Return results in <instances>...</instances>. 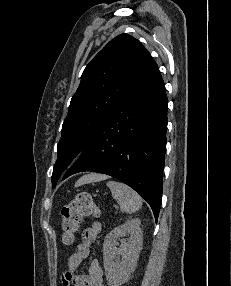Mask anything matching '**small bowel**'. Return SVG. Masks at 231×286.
<instances>
[{
	"label": "small bowel",
	"mask_w": 231,
	"mask_h": 286,
	"mask_svg": "<svg viewBox=\"0 0 231 286\" xmlns=\"http://www.w3.org/2000/svg\"><path fill=\"white\" fill-rule=\"evenodd\" d=\"M101 228L99 222L93 221L83 230L76 251L69 256L68 271L62 275L63 286H105L103 270L97 258L91 260L87 274L76 273L82 262L89 257L91 246L101 232Z\"/></svg>",
	"instance_id": "obj_1"
}]
</instances>
